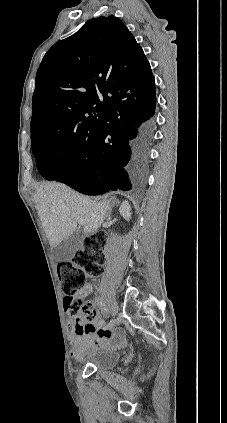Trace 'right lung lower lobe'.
<instances>
[{
	"instance_id": "obj_1",
	"label": "right lung lower lobe",
	"mask_w": 227,
	"mask_h": 423,
	"mask_svg": "<svg viewBox=\"0 0 227 423\" xmlns=\"http://www.w3.org/2000/svg\"><path fill=\"white\" fill-rule=\"evenodd\" d=\"M155 106V91L147 96H127L110 105L92 150L70 175L56 181L86 195L130 190L128 173L140 178L146 166L151 133L145 122Z\"/></svg>"
}]
</instances>
